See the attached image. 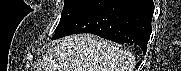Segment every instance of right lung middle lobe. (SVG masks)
<instances>
[{"mask_svg": "<svg viewBox=\"0 0 181 71\" xmlns=\"http://www.w3.org/2000/svg\"><path fill=\"white\" fill-rule=\"evenodd\" d=\"M93 1L94 0H65L61 19L55 31L59 30L71 21L79 12L85 9Z\"/></svg>", "mask_w": 181, "mask_h": 71, "instance_id": "1", "label": "right lung middle lobe"}]
</instances>
